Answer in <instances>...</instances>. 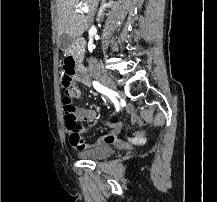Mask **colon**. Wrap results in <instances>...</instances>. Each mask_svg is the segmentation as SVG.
I'll return each mask as SVG.
<instances>
[{
    "label": "colon",
    "mask_w": 217,
    "mask_h": 202,
    "mask_svg": "<svg viewBox=\"0 0 217 202\" xmlns=\"http://www.w3.org/2000/svg\"><path fill=\"white\" fill-rule=\"evenodd\" d=\"M72 95H74V91H71ZM63 110H64V117L66 121L67 128L69 130H76L81 131L82 127L77 122L75 113H74V106L72 104V98L69 95V90L64 89L63 91Z\"/></svg>",
    "instance_id": "1"
}]
</instances>
